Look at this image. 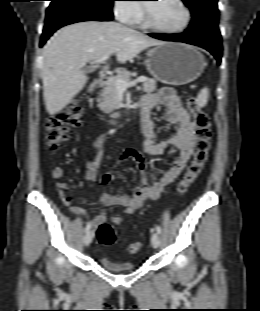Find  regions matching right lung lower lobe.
<instances>
[{"label": "right lung lower lobe", "mask_w": 260, "mask_h": 311, "mask_svg": "<svg viewBox=\"0 0 260 311\" xmlns=\"http://www.w3.org/2000/svg\"><path fill=\"white\" fill-rule=\"evenodd\" d=\"M113 15L98 12L70 1H55L47 9L40 47L60 27L81 21H110Z\"/></svg>", "instance_id": "obj_1"}]
</instances>
